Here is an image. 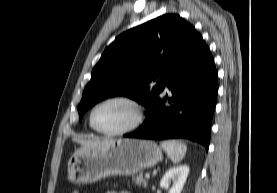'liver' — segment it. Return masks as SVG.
<instances>
[{"label": "liver", "instance_id": "liver-1", "mask_svg": "<svg viewBox=\"0 0 277 193\" xmlns=\"http://www.w3.org/2000/svg\"><path fill=\"white\" fill-rule=\"evenodd\" d=\"M75 142L81 144L85 147L91 148H101L113 142V140L107 138H92V139H82V138H74Z\"/></svg>", "mask_w": 277, "mask_h": 193}]
</instances>
